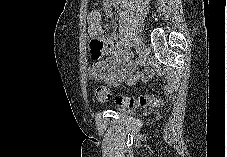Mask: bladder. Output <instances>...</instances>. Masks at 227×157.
Returning a JSON list of instances; mask_svg holds the SVG:
<instances>
[{"label":"bladder","instance_id":"obj_1","mask_svg":"<svg viewBox=\"0 0 227 157\" xmlns=\"http://www.w3.org/2000/svg\"><path fill=\"white\" fill-rule=\"evenodd\" d=\"M122 115H132L134 114V110L130 108H119L117 110Z\"/></svg>","mask_w":227,"mask_h":157}]
</instances>
